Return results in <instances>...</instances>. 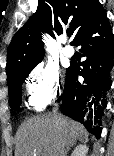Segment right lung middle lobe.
I'll return each mask as SVG.
<instances>
[{
  "mask_svg": "<svg viewBox=\"0 0 114 156\" xmlns=\"http://www.w3.org/2000/svg\"><path fill=\"white\" fill-rule=\"evenodd\" d=\"M30 71L31 70L15 76L12 79V81L8 84L9 95L11 97L9 100V104L12 109L21 110L19 108V106L21 104V94H22L21 86H22L24 80L26 79V77L29 75Z\"/></svg>",
  "mask_w": 114,
  "mask_h": 156,
  "instance_id": "right-lung-middle-lobe-1",
  "label": "right lung middle lobe"
}]
</instances>
